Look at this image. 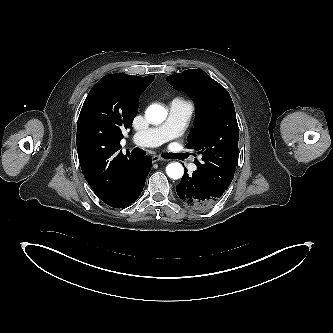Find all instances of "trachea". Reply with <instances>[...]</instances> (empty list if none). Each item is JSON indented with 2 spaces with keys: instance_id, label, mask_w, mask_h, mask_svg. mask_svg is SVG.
Here are the masks:
<instances>
[{
  "instance_id": "3493384b",
  "label": "trachea",
  "mask_w": 333,
  "mask_h": 333,
  "mask_svg": "<svg viewBox=\"0 0 333 333\" xmlns=\"http://www.w3.org/2000/svg\"><path fill=\"white\" fill-rule=\"evenodd\" d=\"M131 154L132 155H136V156H143L145 155V151L140 149V148H134L132 151H131ZM162 156L164 158H171L170 154H162Z\"/></svg>"
}]
</instances>
